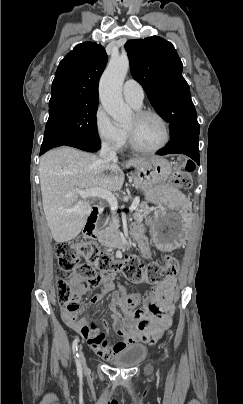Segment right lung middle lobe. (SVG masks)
<instances>
[{
  "instance_id": "dd1d6c3e",
  "label": "right lung middle lobe",
  "mask_w": 243,
  "mask_h": 404,
  "mask_svg": "<svg viewBox=\"0 0 243 404\" xmlns=\"http://www.w3.org/2000/svg\"><path fill=\"white\" fill-rule=\"evenodd\" d=\"M98 102H67L49 106L40 154L72 140L100 142L96 113Z\"/></svg>"
}]
</instances>
